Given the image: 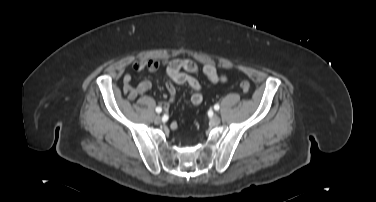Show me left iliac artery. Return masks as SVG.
<instances>
[{
	"label": "left iliac artery",
	"mask_w": 376,
	"mask_h": 202,
	"mask_svg": "<svg viewBox=\"0 0 376 202\" xmlns=\"http://www.w3.org/2000/svg\"><path fill=\"white\" fill-rule=\"evenodd\" d=\"M219 108H220V106H219L218 104H215V105H214V109H215V110H219Z\"/></svg>",
	"instance_id": "1"
}]
</instances>
